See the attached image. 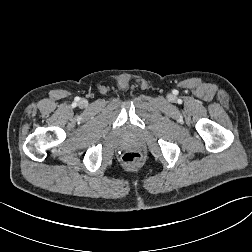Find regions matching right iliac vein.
Segmentation results:
<instances>
[{
	"instance_id": "obj_1",
	"label": "right iliac vein",
	"mask_w": 252,
	"mask_h": 252,
	"mask_svg": "<svg viewBox=\"0 0 252 252\" xmlns=\"http://www.w3.org/2000/svg\"><path fill=\"white\" fill-rule=\"evenodd\" d=\"M80 104H81V106H84V105L86 104V102H85L84 100H82V101L80 102Z\"/></svg>"
}]
</instances>
